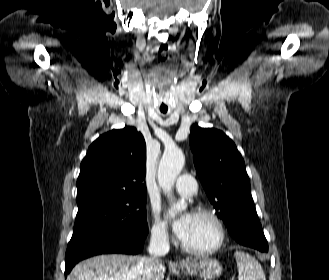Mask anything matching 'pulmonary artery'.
<instances>
[{
	"label": "pulmonary artery",
	"instance_id": "obj_1",
	"mask_svg": "<svg viewBox=\"0 0 329 280\" xmlns=\"http://www.w3.org/2000/svg\"><path fill=\"white\" fill-rule=\"evenodd\" d=\"M175 189L182 196H192L197 189L196 181L191 175L183 174L178 177Z\"/></svg>",
	"mask_w": 329,
	"mask_h": 280
}]
</instances>
